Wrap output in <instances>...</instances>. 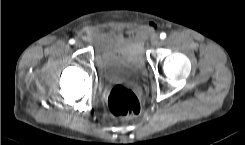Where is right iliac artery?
Wrapping results in <instances>:
<instances>
[{
	"instance_id": "82829eb1",
	"label": "right iliac artery",
	"mask_w": 245,
	"mask_h": 145,
	"mask_svg": "<svg viewBox=\"0 0 245 145\" xmlns=\"http://www.w3.org/2000/svg\"><path fill=\"white\" fill-rule=\"evenodd\" d=\"M69 43H70V44H74V43H75L74 39H70V40H69Z\"/></svg>"
}]
</instances>
